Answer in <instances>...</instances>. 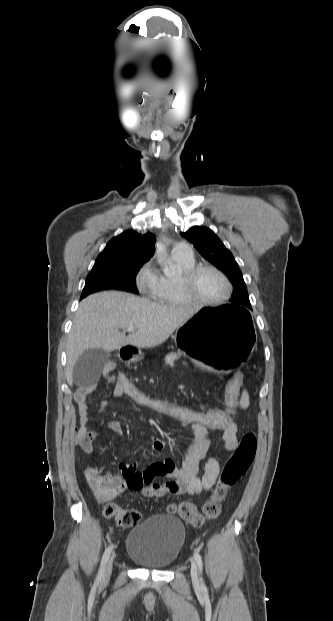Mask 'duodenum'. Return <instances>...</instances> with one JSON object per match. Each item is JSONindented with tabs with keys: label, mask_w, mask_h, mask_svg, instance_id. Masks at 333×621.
<instances>
[{
	"label": "duodenum",
	"mask_w": 333,
	"mask_h": 621,
	"mask_svg": "<svg viewBox=\"0 0 333 621\" xmlns=\"http://www.w3.org/2000/svg\"><path fill=\"white\" fill-rule=\"evenodd\" d=\"M134 354H135V353H134V350H133L132 348H127V347H126V348H123V349L121 350V357H122L124 360H130V359H132V358H133V356H134Z\"/></svg>",
	"instance_id": "duodenum-1"
}]
</instances>
